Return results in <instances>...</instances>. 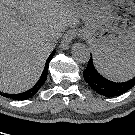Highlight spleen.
I'll list each match as a JSON object with an SVG mask.
<instances>
[{
  "mask_svg": "<svg viewBox=\"0 0 135 135\" xmlns=\"http://www.w3.org/2000/svg\"><path fill=\"white\" fill-rule=\"evenodd\" d=\"M94 60L98 70L114 81H127L135 76V56L117 62H105L97 57Z\"/></svg>",
  "mask_w": 135,
  "mask_h": 135,
  "instance_id": "obj_1",
  "label": "spleen"
}]
</instances>
